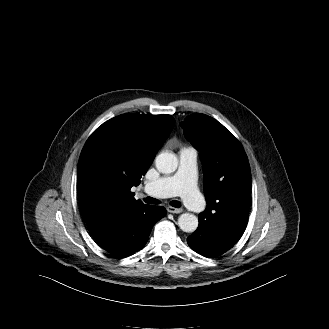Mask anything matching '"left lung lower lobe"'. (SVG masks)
I'll return each mask as SVG.
<instances>
[{
	"instance_id": "1",
	"label": "left lung lower lobe",
	"mask_w": 329,
	"mask_h": 329,
	"mask_svg": "<svg viewBox=\"0 0 329 329\" xmlns=\"http://www.w3.org/2000/svg\"><path fill=\"white\" fill-rule=\"evenodd\" d=\"M248 221V211L242 210L238 219L223 224L208 225L201 218L197 230L187 238L195 252L205 257H216L235 245L243 235Z\"/></svg>"
}]
</instances>
